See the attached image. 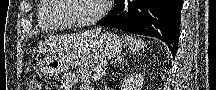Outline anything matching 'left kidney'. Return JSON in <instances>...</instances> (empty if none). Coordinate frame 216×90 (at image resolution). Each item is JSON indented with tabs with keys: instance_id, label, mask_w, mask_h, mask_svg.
<instances>
[{
	"instance_id": "1",
	"label": "left kidney",
	"mask_w": 216,
	"mask_h": 90,
	"mask_svg": "<svg viewBox=\"0 0 216 90\" xmlns=\"http://www.w3.org/2000/svg\"><path fill=\"white\" fill-rule=\"evenodd\" d=\"M144 78L141 74H130L125 78L121 90H141L143 88Z\"/></svg>"
}]
</instances>
